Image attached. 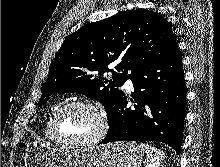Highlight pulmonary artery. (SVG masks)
<instances>
[{"label":"pulmonary artery","instance_id":"obj_1","mask_svg":"<svg viewBox=\"0 0 220 167\" xmlns=\"http://www.w3.org/2000/svg\"><path fill=\"white\" fill-rule=\"evenodd\" d=\"M125 88L128 90V91H132L133 90V83L131 81V79H128L125 83Z\"/></svg>","mask_w":220,"mask_h":167}]
</instances>
